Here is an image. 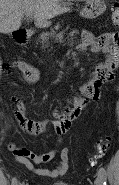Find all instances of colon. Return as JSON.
Listing matches in <instances>:
<instances>
[{"label": "colon", "mask_w": 119, "mask_h": 185, "mask_svg": "<svg viewBox=\"0 0 119 185\" xmlns=\"http://www.w3.org/2000/svg\"><path fill=\"white\" fill-rule=\"evenodd\" d=\"M111 21L114 26L119 25V3L117 1H115L112 6ZM99 82L100 79L94 84L97 85ZM109 140V137H106L105 140H102L97 144L95 153L88 158L90 166H94L97 160L103 155L105 150L108 148Z\"/></svg>", "instance_id": "5ec220e1"}]
</instances>
